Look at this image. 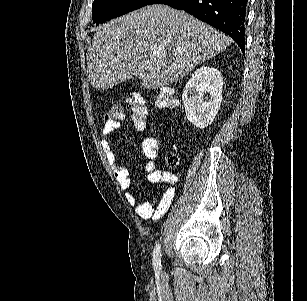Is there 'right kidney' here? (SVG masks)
Segmentation results:
<instances>
[{"instance_id": "right-kidney-1", "label": "right kidney", "mask_w": 307, "mask_h": 301, "mask_svg": "<svg viewBox=\"0 0 307 301\" xmlns=\"http://www.w3.org/2000/svg\"><path fill=\"white\" fill-rule=\"evenodd\" d=\"M223 78L220 70L211 66H200L182 92V100L188 120L197 126L205 128L213 122L222 102ZM205 92H209V100L204 102Z\"/></svg>"}]
</instances>
